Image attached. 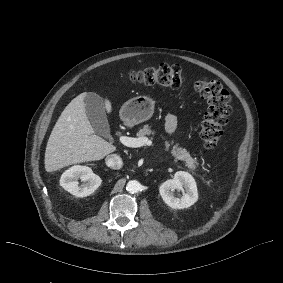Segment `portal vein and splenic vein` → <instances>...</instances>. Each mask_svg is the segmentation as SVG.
Returning a JSON list of instances; mask_svg holds the SVG:
<instances>
[{
  "label": "portal vein and splenic vein",
  "mask_w": 283,
  "mask_h": 283,
  "mask_svg": "<svg viewBox=\"0 0 283 283\" xmlns=\"http://www.w3.org/2000/svg\"><path fill=\"white\" fill-rule=\"evenodd\" d=\"M119 141L124 146H128V147H140L145 143L148 146H151L153 144L151 140H147L146 138H132L124 135L119 136Z\"/></svg>",
  "instance_id": "1"
}]
</instances>
